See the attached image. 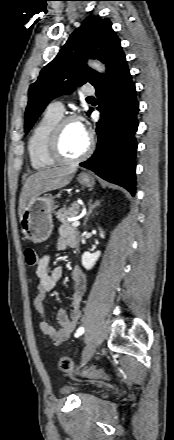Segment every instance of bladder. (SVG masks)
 I'll use <instances>...</instances> for the list:
<instances>
[{
	"instance_id": "obj_1",
	"label": "bladder",
	"mask_w": 174,
	"mask_h": 440,
	"mask_svg": "<svg viewBox=\"0 0 174 440\" xmlns=\"http://www.w3.org/2000/svg\"><path fill=\"white\" fill-rule=\"evenodd\" d=\"M76 390H79V391H81V392H85V391H87L86 388L76 389V388H74V387H70V386H64V387H62V391H63V392H72V391H76Z\"/></svg>"
}]
</instances>
